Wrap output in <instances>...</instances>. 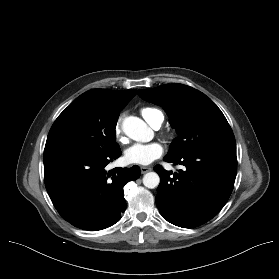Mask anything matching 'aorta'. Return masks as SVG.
<instances>
[{
  "label": "aorta",
  "instance_id": "762f6f07",
  "mask_svg": "<svg viewBox=\"0 0 279 279\" xmlns=\"http://www.w3.org/2000/svg\"><path fill=\"white\" fill-rule=\"evenodd\" d=\"M123 131L131 139L146 142L151 138V129L138 117H127L123 122ZM160 183V177L156 172H148L143 177V184L149 189L156 188Z\"/></svg>",
  "mask_w": 279,
  "mask_h": 279
}]
</instances>
